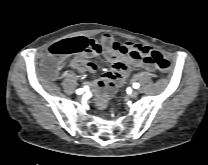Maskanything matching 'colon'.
<instances>
[{
    "instance_id": "obj_1",
    "label": "colon",
    "mask_w": 208,
    "mask_h": 165,
    "mask_svg": "<svg viewBox=\"0 0 208 165\" xmlns=\"http://www.w3.org/2000/svg\"><path fill=\"white\" fill-rule=\"evenodd\" d=\"M148 47V46H147ZM88 48V42L85 38H70L55 43L49 49V52L42 62V71L48 79H55L60 71V59L70 55H76ZM144 60L153 64L159 70L168 72L170 62L161 53L150 48H144Z\"/></svg>"
}]
</instances>
